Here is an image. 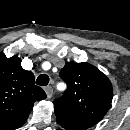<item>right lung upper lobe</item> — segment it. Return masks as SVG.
Here are the masks:
<instances>
[{
	"mask_svg": "<svg viewBox=\"0 0 130 130\" xmlns=\"http://www.w3.org/2000/svg\"><path fill=\"white\" fill-rule=\"evenodd\" d=\"M34 75L21 67L18 56L0 53V130H15L27 120L34 102L45 99Z\"/></svg>",
	"mask_w": 130,
	"mask_h": 130,
	"instance_id": "obj_1",
	"label": "right lung upper lobe"
}]
</instances>
